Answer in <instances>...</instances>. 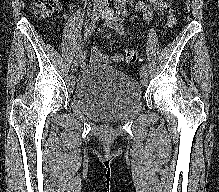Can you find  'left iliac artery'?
<instances>
[{
    "label": "left iliac artery",
    "mask_w": 219,
    "mask_h": 192,
    "mask_svg": "<svg viewBox=\"0 0 219 192\" xmlns=\"http://www.w3.org/2000/svg\"><path fill=\"white\" fill-rule=\"evenodd\" d=\"M120 34H125V29L122 25H120ZM142 68L147 69V65L143 63Z\"/></svg>",
    "instance_id": "1"
}]
</instances>
